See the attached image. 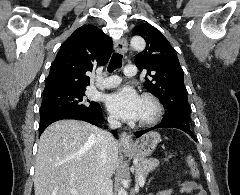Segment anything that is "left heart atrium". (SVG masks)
Segmentation results:
<instances>
[{
	"label": "left heart atrium",
	"mask_w": 240,
	"mask_h": 195,
	"mask_svg": "<svg viewBox=\"0 0 240 195\" xmlns=\"http://www.w3.org/2000/svg\"><path fill=\"white\" fill-rule=\"evenodd\" d=\"M141 103L138 93L130 88L120 89L108 98L110 109L126 121L139 119Z\"/></svg>",
	"instance_id": "left-heart-atrium-1"
}]
</instances>
